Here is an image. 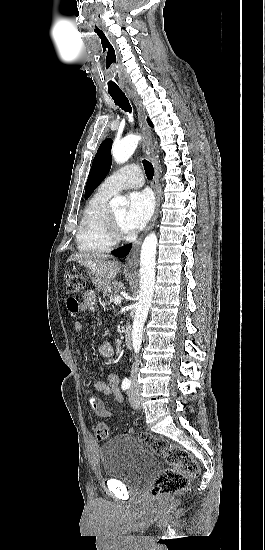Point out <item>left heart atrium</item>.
Returning <instances> with one entry per match:
<instances>
[{"instance_id":"1","label":"left heart atrium","mask_w":265,"mask_h":550,"mask_svg":"<svg viewBox=\"0 0 265 550\" xmlns=\"http://www.w3.org/2000/svg\"><path fill=\"white\" fill-rule=\"evenodd\" d=\"M153 208V198L148 191L132 193L129 197V206L124 217L125 231L135 232L142 229L149 221Z\"/></svg>"}]
</instances>
